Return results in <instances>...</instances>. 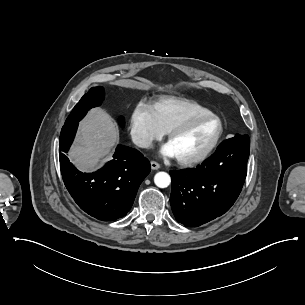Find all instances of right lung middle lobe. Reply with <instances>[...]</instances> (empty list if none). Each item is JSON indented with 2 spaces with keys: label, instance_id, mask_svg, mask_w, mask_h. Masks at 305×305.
I'll use <instances>...</instances> for the list:
<instances>
[{
  "label": "right lung middle lobe",
  "instance_id": "1",
  "mask_svg": "<svg viewBox=\"0 0 305 305\" xmlns=\"http://www.w3.org/2000/svg\"><path fill=\"white\" fill-rule=\"evenodd\" d=\"M104 100V91L102 87H93L85 94L81 100L75 105L74 109L68 116L65 124L80 121L87 113V111L93 107L101 105ZM121 125L124 124V119H119Z\"/></svg>",
  "mask_w": 305,
  "mask_h": 305
}]
</instances>
